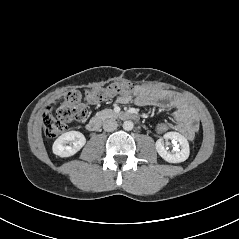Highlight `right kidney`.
I'll use <instances>...</instances> for the list:
<instances>
[{
  "label": "right kidney",
  "instance_id": "obj_1",
  "mask_svg": "<svg viewBox=\"0 0 239 239\" xmlns=\"http://www.w3.org/2000/svg\"><path fill=\"white\" fill-rule=\"evenodd\" d=\"M86 143L85 136L78 131H69L59 136L53 143V153L60 157L76 154ZM69 144V145H67Z\"/></svg>",
  "mask_w": 239,
  "mask_h": 239
}]
</instances>
